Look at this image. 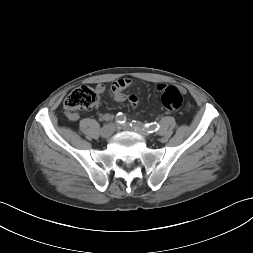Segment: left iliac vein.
<instances>
[{"instance_id": "left-iliac-vein-1", "label": "left iliac vein", "mask_w": 253, "mask_h": 253, "mask_svg": "<svg viewBox=\"0 0 253 253\" xmlns=\"http://www.w3.org/2000/svg\"><path fill=\"white\" fill-rule=\"evenodd\" d=\"M122 129L129 130V131H135L146 138L150 137V134L148 132H146L145 130L141 129L140 127H134L129 124H126V125L122 126Z\"/></svg>"}]
</instances>
